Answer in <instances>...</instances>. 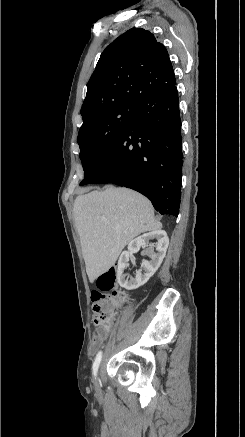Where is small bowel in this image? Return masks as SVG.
<instances>
[{
    "mask_svg": "<svg viewBox=\"0 0 245 437\" xmlns=\"http://www.w3.org/2000/svg\"><path fill=\"white\" fill-rule=\"evenodd\" d=\"M106 336L107 335H105L103 337H96V336H94L93 342H92V346L94 348L100 346L102 344L103 340L106 338Z\"/></svg>",
    "mask_w": 245,
    "mask_h": 437,
    "instance_id": "small-bowel-1",
    "label": "small bowel"
}]
</instances>
